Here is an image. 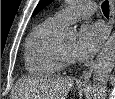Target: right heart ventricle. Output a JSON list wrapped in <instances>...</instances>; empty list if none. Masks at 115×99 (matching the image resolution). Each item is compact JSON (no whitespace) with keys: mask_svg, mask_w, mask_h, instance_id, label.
<instances>
[{"mask_svg":"<svg viewBox=\"0 0 115 99\" xmlns=\"http://www.w3.org/2000/svg\"><path fill=\"white\" fill-rule=\"evenodd\" d=\"M60 25L48 19L29 34L24 47L26 70L33 75L47 76L60 72L63 63L58 56L55 35Z\"/></svg>","mask_w":115,"mask_h":99,"instance_id":"right-heart-ventricle-1","label":"right heart ventricle"}]
</instances>
